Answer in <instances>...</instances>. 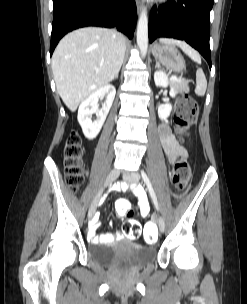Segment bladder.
Here are the masks:
<instances>
[{"mask_svg": "<svg viewBox=\"0 0 247 304\" xmlns=\"http://www.w3.org/2000/svg\"><path fill=\"white\" fill-rule=\"evenodd\" d=\"M88 255L95 262L109 266L120 257H126L138 265L151 261L156 256L153 247L129 243L125 248L120 249L116 243H98L88 247Z\"/></svg>", "mask_w": 247, "mask_h": 304, "instance_id": "31cf9c89", "label": "bladder"}]
</instances>
